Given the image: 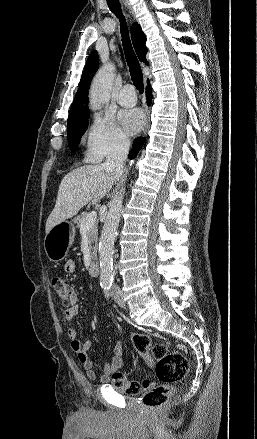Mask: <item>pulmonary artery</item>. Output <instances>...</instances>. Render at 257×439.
Returning <instances> with one entry per match:
<instances>
[{
  "label": "pulmonary artery",
  "instance_id": "e3ab8cb5",
  "mask_svg": "<svg viewBox=\"0 0 257 439\" xmlns=\"http://www.w3.org/2000/svg\"><path fill=\"white\" fill-rule=\"evenodd\" d=\"M117 101L122 106H126V107L134 106L136 104L137 97L133 86L129 84L123 86L119 92Z\"/></svg>",
  "mask_w": 257,
  "mask_h": 439
}]
</instances>
